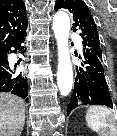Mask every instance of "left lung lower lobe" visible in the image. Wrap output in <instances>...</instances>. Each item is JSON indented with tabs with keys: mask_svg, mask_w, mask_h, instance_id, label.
<instances>
[{
	"mask_svg": "<svg viewBox=\"0 0 117 136\" xmlns=\"http://www.w3.org/2000/svg\"><path fill=\"white\" fill-rule=\"evenodd\" d=\"M84 57L87 66L76 67L77 74L72 97L67 106V115L81 105H105L113 108L103 62L85 51Z\"/></svg>",
	"mask_w": 117,
	"mask_h": 136,
	"instance_id": "left-lung-lower-lobe-1",
	"label": "left lung lower lobe"
}]
</instances>
